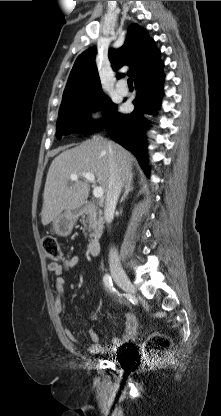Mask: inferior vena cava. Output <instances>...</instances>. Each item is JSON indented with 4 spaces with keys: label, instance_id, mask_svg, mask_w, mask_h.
<instances>
[{
    "label": "inferior vena cava",
    "instance_id": "obj_1",
    "mask_svg": "<svg viewBox=\"0 0 221 416\" xmlns=\"http://www.w3.org/2000/svg\"><path fill=\"white\" fill-rule=\"evenodd\" d=\"M122 183L119 179L115 165H111V176L109 189L106 194L104 214L106 219H111L114 216L117 201L121 193ZM109 266L111 271H120L121 265L119 261L118 252L115 248H111L109 252Z\"/></svg>",
    "mask_w": 221,
    "mask_h": 416
}]
</instances>
